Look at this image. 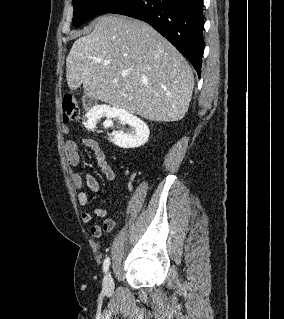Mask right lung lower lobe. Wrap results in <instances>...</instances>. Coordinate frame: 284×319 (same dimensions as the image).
I'll return each instance as SVG.
<instances>
[{
	"instance_id": "right-lung-lower-lobe-1",
	"label": "right lung lower lobe",
	"mask_w": 284,
	"mask_h": 319,
	"mask_svg": "<svg viewBox=\"0 0 284 319\" xmlns=\"http://www.w3.org/2000/svg\"><path fill=\"white\" fill-rule=\"evenodd\" d=\"M111 13L150 24L190 61L200 77L203 0H129Z\"/></svg>"
}]
</instances>
